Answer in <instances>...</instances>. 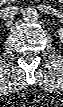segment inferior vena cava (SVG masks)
<instances>
[{
  "instance_id": "602c4592",
  "label": "inferior vena cava",
  "mask_w": 63,
  "mask_h": 107,
  "mask_svg": "<svg viewBox=\"0 0 63 107\" xmlns=\"http://www.w3.org/2000/svg\"><path fill=\"white\" fill-rule=\"evenodd\" d=\"M18 13V8L12 5L3 7L0 10V18L2 20H12Z\"/></svg>"
}]
</instances>
